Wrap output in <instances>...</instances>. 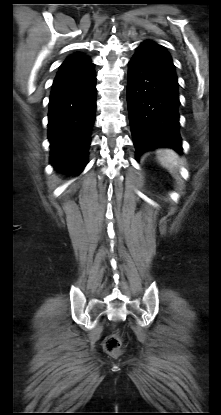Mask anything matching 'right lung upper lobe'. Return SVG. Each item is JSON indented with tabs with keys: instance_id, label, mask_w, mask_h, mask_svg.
Wrapping results in <instances>:
<instances>
[{
	"instance_id": "right-lung-upper-lobe-1",
	"label": "right lung upper lobe",
	"mask_w": 221,
	"mask_h": 415,
	"mask_svg": "<svg viewBox=\"0 0 221 415\" xmlns=\"http://www.w3.org/2000/svg\"><path fill=\"white\" fill-rule=\"evenodd\" d=\"M92 64L91 60L82 53L69 56L60 66L59 70L72 69Z\"/></svg>"
}]
</instances>
